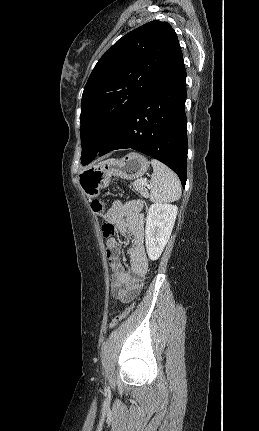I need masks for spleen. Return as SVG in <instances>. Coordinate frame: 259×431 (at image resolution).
<instances>
[{"instance_id": "3e777b00", "label": "spleen", "mask_w": 259, "mask_h": 431, "mask_svg": "<svg viewBox=\"0 0 259 431\" xmlns=\"http://www.w3.org/2000/svg\"><path fill=\"white\" fill-rule=\"evenodd\" d=\"M151 164L153 167L150 181L151 201L169 203L179 200L182 192L178 176L156 159H152Z\"/></svg>"}]
</instances>
